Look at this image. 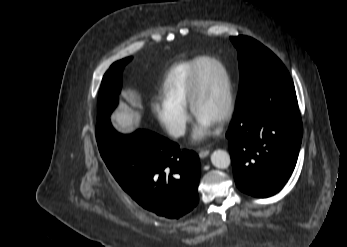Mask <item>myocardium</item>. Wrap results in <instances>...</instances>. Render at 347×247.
Returning a JSON list of instances; mask_svg holds the SVG:
<instances>
[{
	"mask_svg": "<svg viewBox=\"0 0 347 247\" xmlns=\"http://www.w3.org/2000/svg\"><path fill=\"white\" fill-rule=\"evenodd\" d=\"M204 62H210L216 65L222 72L224 81H225V89H226V99L223 110L216 120L217 123L221 124L226 122L232 115L234 110L235 98H234V87L231 76L226 68V66L218 59L213 57H202L197 63L191 74L189 91H188V107L191 113L197 117V102L200 92V67Z\"/></svg>",
	"mask_w": 347,
	"mask_h": 247,
	"instance_id": "f54148a6",
	"label": "myocardium"
}]
</instances>
